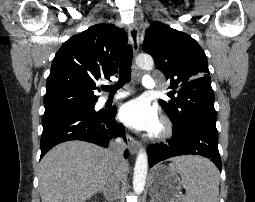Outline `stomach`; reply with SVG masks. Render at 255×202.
Listing matches in <instances>:
<instances>
[{
	"mask_svg": "<svg viewBox=\"0 0 255 202\" xmlns=\"http://www.w3.org/2000/svg\"><path fill=\"white\" fill-rule=\"evenodd\" d=\"M149 188L159 202H172L179 197L181 181L169 167L158 165L151 173Z\"/></svg>",
	"mask_w": 255,
	"mask_h": 202,
	"instance_id": "obj_1",
	"label": "stomach"
}]
</instances>
